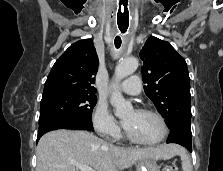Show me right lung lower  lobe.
Segmentation results:
<instances>
[{
  "instance_id": "right-lung-lower-lobe-1",
  "label": "right lung lower lobe",
  "mask_w": 223,
  "mask_h": 171,
  "mask_svg": "<svg viewBox=\"0 0 223 171\" xmlns=\"http://www.w3.org/2000/svg\"><path fill=\"white\" fill-rule=\"evenodd\" d=\"M56 129L94 130L92 123L85 122L73 116H58L39 123L37 141L43 134Z\"/></svg>"
}]
</instances>
